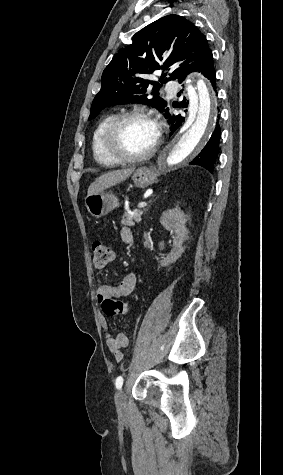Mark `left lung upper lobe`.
<instances>
[{"mask_svg": "<svg viewBox=\"0 0 283 475\" xmlns=\"http://www.w3.org/2000/svg\"><path fill=\"white\" fill-rule=\"evenodd\" d=\"M133 43L119 50L105 68L101 79V90L93 100L89 120L95 118L107 106L130 102L143 103L164 113L167 102L158 97L162 83L178 80L206 61L212 52L206 37L196 26L179 15L162 17L133 36ZM173 47L170 56L162 61V54ZM180 60L184 62L165 78L171 66ZM164 69L159 82L146 79L147 74ZM156 87L153 92L146 88ZM150 95L154 97L149 98Z\"/></svg>", "mask_w": 283, "mask_h": 475, "instance_id": "1", "label": "left lung upper lobe"}]
</instances>
